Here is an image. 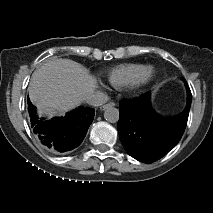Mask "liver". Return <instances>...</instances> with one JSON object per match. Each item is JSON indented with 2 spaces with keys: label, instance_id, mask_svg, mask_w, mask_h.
Masks as SVG:
<instances>
[{
  "label": "liver",
  "instance_id": "6515ba94",
  "mask_svg": "<svg viewBox=\"0 0 213 213\" xmlns=\"http://www.w3.org/2000/svg\"><path fill=\"white\" fill-rule=\"evenodd\" d=\"M97 88L95 78L79 63L53 59L34 71L28 87L39 115H64L83 103Z\"/></svg>",
  "mask_w": 213,
  "mask_h": 213
}]
</instances>
